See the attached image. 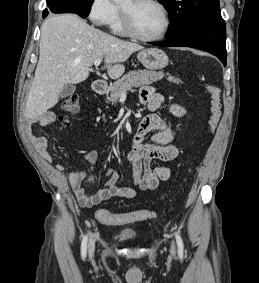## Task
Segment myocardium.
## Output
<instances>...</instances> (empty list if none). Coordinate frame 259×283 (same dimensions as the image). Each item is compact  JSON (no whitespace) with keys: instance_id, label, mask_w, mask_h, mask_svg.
<instances>
[{"instance_id":"myocardium-1","label":"myocardium","mask_w":259,"mask_h":283,"mask_svg":"<svg viewBox=\"0 0 259 283\" xmlns=\"http://www.w3.org/2000/svg\"><path fill=\"white\" fill-rule=\"evenodd\" d=\"M143 1H147V2H151L155 5H157L161 11L164 14V18H165V27L164 30L162 31L161 34L157 35V36H145L142 35L141 33H139L134 25L133 19H132V15L130 10H128L127 8L123 7V6H119L120 9V15H121V21H122V25L123 28L126 32V34L130 35L133 38L142 40V41H158L163 39L169 32L170 27H171V17H170V13L167 9V7L165 6V4L163 2H161L160 0H133V2H143Z\"/></svg>"}]
</instances>
